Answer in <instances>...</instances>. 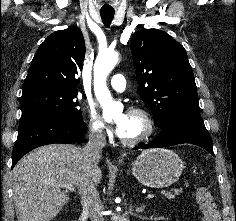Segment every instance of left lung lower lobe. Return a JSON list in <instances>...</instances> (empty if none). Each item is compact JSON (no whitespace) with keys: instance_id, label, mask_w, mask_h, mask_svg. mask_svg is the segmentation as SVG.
I'll return each instance as SVG.
<instances>
[{"instance_id":"left-lung-lower-lobe-1","label":"left lung lower lobe","mask_w":236,"mask_h":221,"mask_svg":"<svg viewBox=\"0 0 236 221\" xmlns=\"http://www.w3.org/2000/svg\"><path fill=\"white\" fill-rule=\"evenodd\" d=\"M161 133L151 144L141 148L165 147L181 143L198 145L213 156V145L200 114L183 113L172 116L160 127Z\"/></svg>"}]
</instances>
